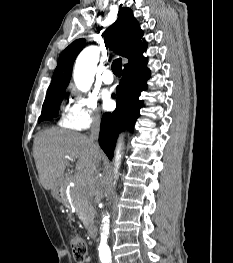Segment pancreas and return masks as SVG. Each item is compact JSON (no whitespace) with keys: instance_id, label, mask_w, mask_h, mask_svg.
I'll return each mask as SVG.
<instances>
[{"instance_id":"pancreas-1","label":"pancreas","mask_w":233,"mask_h":263,"mask_svg":"<svg viewBox=\"0 0 233 263\" xmlns=\"http://www.w3.org/2000/svg\"><path fill=\"white\" fill-rule=\"evenodd\" d=\"M70 197L76 209V214L83 225L88 228L93 224L95 217V209L91 195L88 192H81L78 187H73L70 190Z\"/></svg>"}]
</instances>
